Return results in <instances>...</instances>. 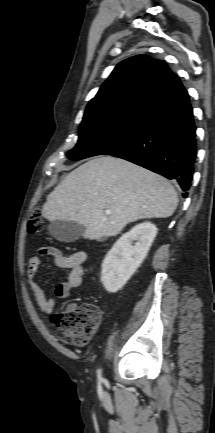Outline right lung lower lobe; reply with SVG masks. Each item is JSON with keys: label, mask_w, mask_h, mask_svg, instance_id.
<instances>
[{"label": "right lung lower lobe", "mask_w": 215, "mask_h": 433, "mask_svg": "<svg viewBox=\"0 0 215 433\" xmlns=\"http://www.w3.org/2000/svg\"><path fill=\"white\" fill-rule=\"evenodd\" d=\"M196 127L186 90L145 116L135 138L108 154L175 179L187 196L197 154Z\"/></svg>", "instance_id": "right-lung-lower-lobe-1"}]
</instances>
